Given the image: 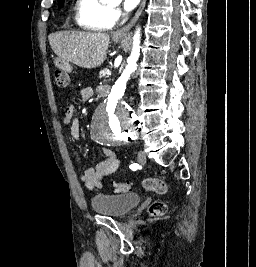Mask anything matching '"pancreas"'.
<instances>
[{"label":"pancreas","instance_id":"pancreas-1","mask_svg":"<svg viewBox=\"0 0 256 267\" xmlns=\"http://www.w3.org/2000/svg\"><path fill=\"white\" fill-rule=\"evenodd\" d=\"M99 78H104V76H102V74H100Z\"/></svg>","mask_w":256,"mask_h":267}]
</instances>
